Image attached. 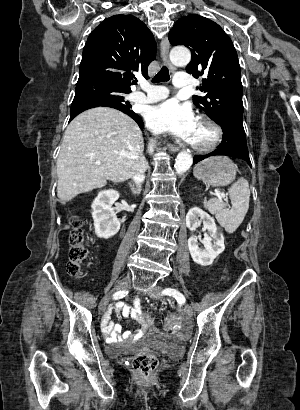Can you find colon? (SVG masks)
I'll return each instance as SVG.
<instances>
[{
  "instance_id": "5ec220e1",
  "label": "colon",
  "mask_w": 300,
  "mask_h": 410,
  "mask_svg": "<svg viewBox=\"0 0 300 410\" xmlns=\"http://www.w3.org/2000/svg\"><path fill=\"white\" fill-rule=\"evenodd\" d=\"M72 230L69 236V261L67 272L71 276H78L88 254V239L82 228V222L77 217L70 220ZM178 321L176 314L167 318V324L173 325ZM132 366L143 377H150L158 366V359L153 354H139L133 358Z\"/></svg>"
}]
</instances>
